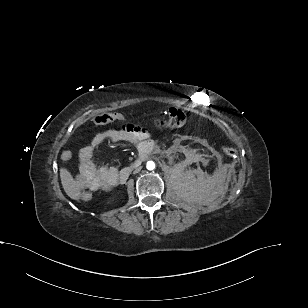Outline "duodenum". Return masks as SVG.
Instances as JSON below:
<instances>
[{
    "instance_id": "duodenum-1",
    "label": "duodenum",
    "mask_w": 308,
    "mask_h": 308,
    "mask_svg": "<svg viewBox=\"0 0 308 308\" xmlns=\"http://www.w3.org/2000/svg\"><path fill=\"white\" fill-rule=\"evenodd\" d=\"M138 151L140 152V154L139 157L135 160V162L132 163L130 166H127L122 169L119 173L117 178L119 183L123 184L126 182L131 172L141 166L142 162L146 159L149 153H153L155 151V145L153 143H142L138 148Z\"/></svg>"
}]
</instances>
